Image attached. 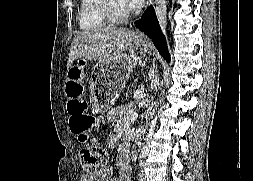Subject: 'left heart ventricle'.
I'll use <instances>...</instances> for the list:
<instances>
[{
  "instance_id": "b2bd125f",
  "label": "left heart ventricle",
  "mask_w": 253,
  "mask_h": 181,
  "mask_svg": "<svg viewBox=\"0 0 253 181\" xmlns=\"http://www.w3.org/2000/svg\"><path fill=\"white\" fill-rule=\"evenodd\" d=\"M113 5H114L116 12H118L120 14L129 11L125 7L123 0H113Z\"/></svg>"
}]
</instances>
